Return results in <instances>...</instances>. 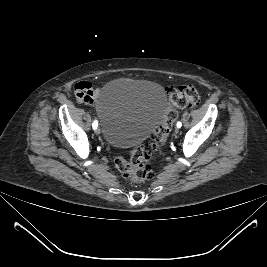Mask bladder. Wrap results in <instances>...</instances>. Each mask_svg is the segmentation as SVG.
<instances>
[{
	"mask_svg": "<svg viewBox=\"0 0 267 267\" xmlns=\"http://www.w3.org/2000/svg\"><path fill=\"white\" fill-rule=\"evenodd\" d=\"M168 109L164 89L153 82L119 78L98 94L96 110L105 140L117 148L142 142Z\"/></svg>",
	"mask_w": 267,
	"mask_h": 267,
	"instance_id": "bladder-1",
	"label": "bladder"
}]
</instances>
